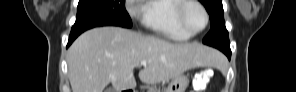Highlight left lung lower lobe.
Returning a JSON list of instances; mask_svg holds the SVG:
<instances>
[{"label":"left lung lower lobe","instance_id":"left-lung-lower-lobe-1","mask_svg":"<svg viewBox=\"0 0 296 92\" xmlns=\"http://www.w3.org/2000/svg\"><path fill=\"white\" fill-rule=\"evenodd\" d=\"M219 50H221L222 52H224L227 55V57L230 59V57H231V50L230 49H228V48H221Z\"/></svg>","mask_w":296,"mask_h":92}]
</instances>
